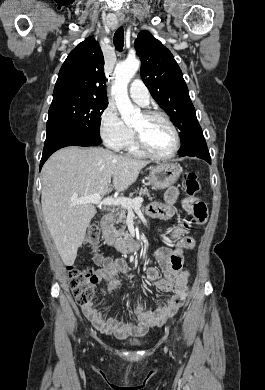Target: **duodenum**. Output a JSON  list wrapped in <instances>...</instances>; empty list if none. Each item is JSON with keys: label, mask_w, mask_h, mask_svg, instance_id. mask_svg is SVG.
I'll use <instances>...</instances> for the list:
<instances>
[{"label": "duodenum", "mask_w": 265, "mask_h": 390, "mask_svg": "<svg viewBox=\"0 0 265 390\" xmlns=\"http://www.w3.org/2000/svg\"><path fill=\"white\" fill-rule=\"evenodd\" d=\"M114 220L113 213H107L103 216L101 221V227L103 229V237L105 240V243L109 247H115L120 251H126V250H136L140 247L139 241L131 242L130 244H126L123 241L117 240L115 237H113L109 233L110 226L112 225Z\"/></svg>", "instance_id": "1"}]
</instances>
